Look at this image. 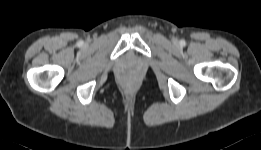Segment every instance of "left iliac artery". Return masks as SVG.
Listing matches in <instances>:
<instances>
[{
  "label": "left iliac artery",
  "instance_id": "1",
  "mask_svg": "<svg viewBox=\"0 0 261 150\" xmlns=\"http://www.w3.org/2000/svg\"><path fill=\"white\" fill-rule=\"evenodd\" d=\"M181 44H182V45H184V44H185V42H184V41H181Z\"/></svg>",
  "mask_w": 261,
  "mask_h": 150
}]
</instances>
